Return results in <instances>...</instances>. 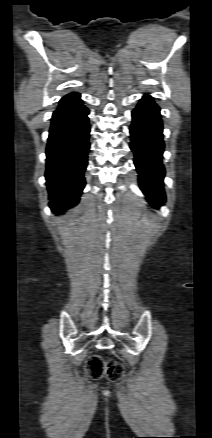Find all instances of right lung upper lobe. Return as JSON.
I'll use <instances>...</instances> for the list:
<instances>
[{
  "mask_svg": "<svg viewBox=\"0 0 212 438\" xmlns=\"http://www.w3.org/2000/svg\"><path fill=\"white\" fill-rule=\"evenodd\" d=\"M72 94H75V93H70V94H68V95H72Z\"/></svg>",
  "mask_w": 212,
  "mask_h": 438,
  "instance_id": "cb5924a9",
  "label": "right lung upper lobe"
}]
</instances>
